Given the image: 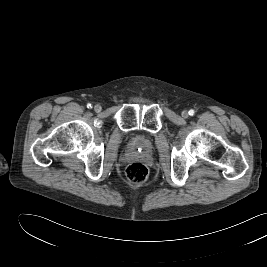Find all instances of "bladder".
Wrapping results in <instances>:
<instances>
[{
    "label": "bladder",
    "instance_id": "bladder-1",
    "mask_svg": "<svg viewBox=\"0 0 267 267\" xmlns=\"http://www.w3.org/2000/svg\"><path fill=\"white\" fill-rule=\"evenodd\" d=\"M152 142L143 136H135L130 141V148L135 151H139L144 154H148L152 150Z\"/></svg>",
    "mask_w": 267,
    "mask_h": 267
}]
</instances>
